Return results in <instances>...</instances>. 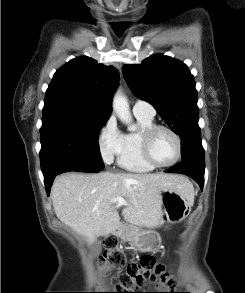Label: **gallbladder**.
<instances>
[{
	"instance_id": "obj_1",
	"label": "gallbladder",
	"mask_w": 245,
	"mask_h": 293,
	"mask_svg": "<svg viewBox=\"0 0 245 293\" xmlns=\"http://www.w3.org/2000/svg\"><path fill=\"white\" fill-rule=\"evenodd\" d=\"M101 252V241L99 238H96L90 247V253L92 257H97Z\"/></svg>"
}]
</instances>
